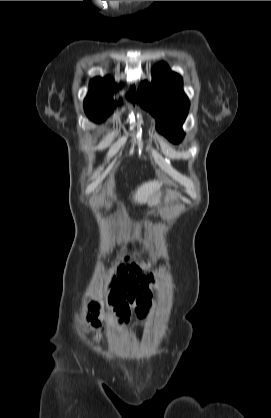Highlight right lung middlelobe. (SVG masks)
<instances>
[{
	"label": "right lung middle lobe",
	"mask_w": 271,
	"mask_h": 418,
	"mask_svg": "<svg viewBox=\"0 0 271 418\" xmlns=\"http://www.w3.org/2000/svg\"><path fill=\"white\" fill-rule=\"evenodd\" d=\"M87 115L89 116L90 119H92L95 122H101L106 117V116H102V115H94V114H89V113H87Z\"/></svg>",
	"instance_id": "right-lung-middle-lobe-1"
}]
</instances>
